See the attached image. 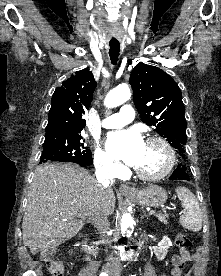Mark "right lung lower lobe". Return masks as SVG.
Here are the masks:
<instances>
[{"label": "right lung lower lobe", "instance_id": "obj_1", "mask_svg": "<svg viewBox=\"0 0 221 276\" xmlns=\"http://www.w3.org/2000/svg\"><path fill=\"white\" fill-rule=\"evenodd\" d=\"M73 163L79 164L82 167L87 166V165H91V164H88V163H85V162H73Z\"/></svg>", "mask_w": 221, "mask_h": 276}]
</instances>
